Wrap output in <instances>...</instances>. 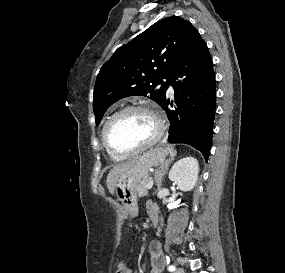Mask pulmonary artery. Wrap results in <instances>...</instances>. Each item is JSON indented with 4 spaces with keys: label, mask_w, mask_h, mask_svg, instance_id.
I'll use <instances>...</instances> for the list:
<instances>
[{
    "label": "pulmonary artery",
    "mask_w": 285,
    "mask_h": 273,
    "mask_svg": "<svg viewBox=\"0 0 285 273\" xmlns=\"http://www.w3.org/2000/svg\"><path fill=\"white\" fill-rule=\"evenodd\" d=\"M169 92L172 94L173 93V87L170 85L169 86Z\"/></svg>",
    "instance_id": "e3ab8cb5"
}]
</instances>
